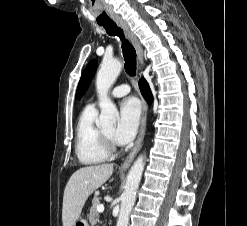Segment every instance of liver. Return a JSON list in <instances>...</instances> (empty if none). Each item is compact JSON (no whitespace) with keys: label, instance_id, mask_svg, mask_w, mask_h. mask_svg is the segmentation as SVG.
Masks as SVG:
<instances>
[{"label":"liver","instance_id":"6515ba94","mask_svg":"<svg viewBox=\"0 0 247 226\" xmlns=\"http://www.w3.org/2000/svg\"><path fill=\"white\" fill-rule=\"evenodd\" d=\"M113 173V164L86 166L70 177L63 196V226H73L79 219L88 197L103 185Z\"/></svg>","mask_w":247,"mask_h":226}]
</instances>
